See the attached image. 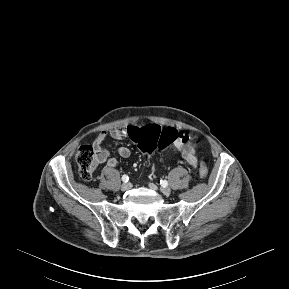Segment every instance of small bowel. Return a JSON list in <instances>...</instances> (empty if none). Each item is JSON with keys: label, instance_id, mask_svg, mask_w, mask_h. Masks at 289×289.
<instances>
[{"label": "small bowel", "instance_id": "c3829d8e", "mask_svg": "<svg viewBox=\"0 0 289 289\" xmlns=\"http://www.w3.org/2000/svg\"><path fill=\"white\" fill-rule=\"evenodd\" d=\"M108 135L116 140H122L130 136L129 128H116L111 130L109 133L103 131L94 141V147L100 154L101 162H106L109 167H115L118 164L117 160L109 157L108 152L101 146ZM174 147L187 164L192 167L197 165L198 160L195 152V143L191 135H181L180 138L174 143ZM117 152L120 157L125 159L131 156V150L126 146H120Z\"/></svg>", "mask_w": 289, "mask_h": 289}]
</instances>
